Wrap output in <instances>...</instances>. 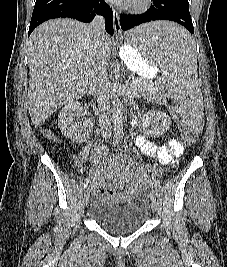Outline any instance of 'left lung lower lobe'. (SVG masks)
Listing matches in <instances>:
<instances>
[{"mask_svg": "<svg viewBox=\"0 0 227 267\" xmlns=\"http://www.w3.org/2000/svg\"><path fill=\"white\" fill-rule=\"evenodd\" d=\"M150 9L141 15H120V25L126 31L142 23L155 20H170L183 25L191 34H194L192 19L189 12L188 0H152ZM166 45L173 50L187 46V41L174 37L166 36Z\"/></svg>", "mask_w": 227, "mask_h": 267, "instance_id": "left-lung-lower-lobe-1", "label": "left lung lower lobe"}]
</instances>
